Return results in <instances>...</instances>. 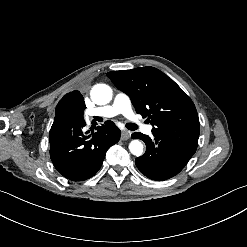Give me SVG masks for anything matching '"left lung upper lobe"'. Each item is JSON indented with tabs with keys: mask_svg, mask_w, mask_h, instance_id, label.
<instances>
[{
	"mask_svg": "<svg viewBox=\"0 0 247 247\" xmlns=\"http://www.w3.org/2000/svg\"><path fill=\"white\" fill-rule=\"evenodd\" d=\"M107 76L131 98L138 114L151 119L154 136L196 152L200 128L195 105L166 74L142 67Z\"/></svg>",
	"mask_w": 247,
	"mask_h": 247,
	"instance_id": "1",
	"label": "left lung upper lobe"
}]
</instances>
